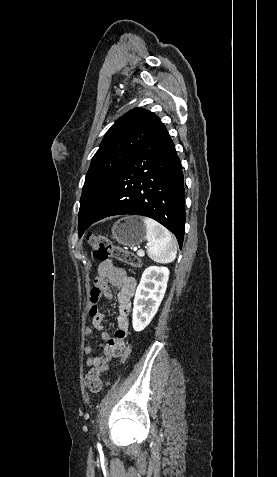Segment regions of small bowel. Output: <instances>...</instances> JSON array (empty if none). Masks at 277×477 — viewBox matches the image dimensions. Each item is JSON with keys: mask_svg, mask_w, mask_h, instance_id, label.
<instances>
[{"mask_svg": "<svg viewBox=\"0 0 277 477\" xmlns=\"http://www.w3.org/2000/svg\"><path fill=\"white\" fill-rule=\"evenodd\" d=\"M136 288V280L126 274L122 269L115 267L111 260H103L98 267V276L95 280L94 287L91 290L89 298V315L92 319V325L101 333L104 341L100 345L102 349L101 355L94 354V348L84 343L83 350L88 355L86 365L96 368L103 373L110 368L112 358L121 357L123 362L130 351L129 346V330L130 321L129 314L131 311V298ZM112 289L117 290L118 300V316L117 329L112 337L103 327L105 314L98 308V302L101 296L112 298ZM93 335V328L87 327L84 330V339Z\"/></svg>", "mask_w": 277, "mask_h": 477, "instance_id": "1", "label": "small bowel"}]
</instances>
